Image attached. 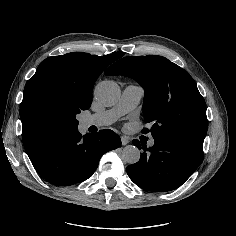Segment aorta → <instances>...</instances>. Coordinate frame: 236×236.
Instances as JSON below:
<instances>
[{
  "mask_svg": "<svg viewBox=\"0 0 236 236\" xmlns=\"http://www.w3.org/2000/svg\"><path fill=\"white\" fill-rule=\"evenodd\" d=\"M120 95V88L118 84L113 81H102L94 90L96 100L105 106L116 104ZM121 156L124 162L135 164L140 159V150L134 145H127L123 148Z\"/></svg>",
  "mask_w": 236,
  "mask_h": 236,
  "instance_id": "762f6f07",
  "label": "aorta"
}]
</instances>
